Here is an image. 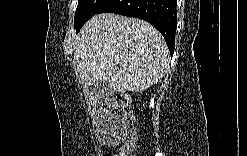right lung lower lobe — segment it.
<instances>
[{
  "label": "right lung lower lobe",
  "mask_w": 247,
  "mask_h": 156,
  "mask_svg": "<svg viewBox=\"0 0 247 156\" xmlns=\"http://www.w3.org/2000/svg\"><path fill=\"white\" fill-rule=\"evenodd\" d=\"M106 12L151 23L161 32L173 55L177 25L176 0H107L97 14Z\"/></svg>",
  "instance_id": "right-lung-lower-lobe-1"
}]
</instances>
